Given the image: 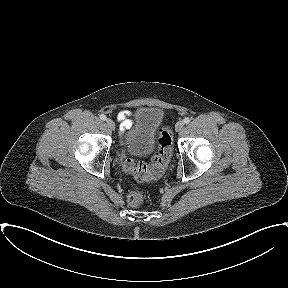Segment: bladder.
Segmentation results:
<instances>
[{
  "mask_svg": "<svg viewBox=\"0 0 288 288\" xmlns=\"http://www.w3.org/2000/svg\"><path fill=\"white\" fill-rule=\"evenodd\" d=\"M164 112L158 107H140L133 116V125L124 137V146L134 155L151 153L158 144Z\"/></svg>",
  "mask_w": 288,
  "mask_h": 288,
  "instance_id": "obj_1",
  "label": "bladder"
}]
</instances>
